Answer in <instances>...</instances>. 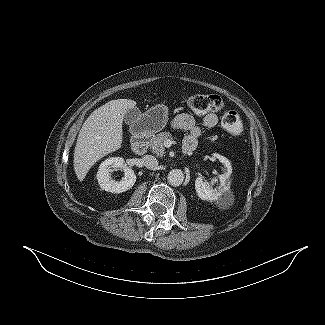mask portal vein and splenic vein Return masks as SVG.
Returning <instances> with one entry per match:
<instances>
[{"label": "portal vein and splenic vein", "instance_id": "portal-vein-and-splenic-vein-1", "mask_svg": "<svg viewBox=\"0 0 325 325\" xmlns=\"http://www.w3.org/2000/svg\"><path fill=\"white\" fill-rule=\"evenodd\" d=\"M165 143H166V144H171V142H170V140H169V139H168V140H166V141H165Z\"/></svg>", "mask_w": 325, "mask_h": 325}]
</instances>
